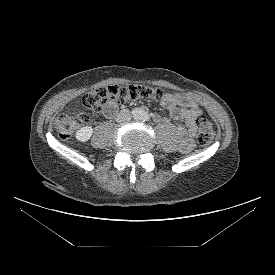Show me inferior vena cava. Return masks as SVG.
<instances>
[{
    "label": "inferior vena cava",
    "mask_w": 275,
    "mask_h": 275,
    "mask_svg": "<svg viewBox=\"0 0 275 275\" xmlns=\"http://www.w3.org/2000/svg\"><path fill=\"white\" fill-rule=\"evenodd\" d=\"M131 119V114L129 110L123 109L116 117V122L121 123L125 121H129Z\"/></svg>",
    "instance_id": "1"
}]
</instances>
